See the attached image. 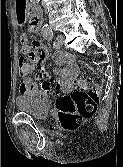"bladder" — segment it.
<instances>
[{
  "label": "bladder",
  "instance_id": "obj_1",
  "mask_svg": "<svg viewBox=\"0 0 123 167\" xmlns=\"http://www.w3.org/2000/svg\"><path fill=\"white\" fill-rule=\"evenodd\" d=\"M17 108L36 120H44L51 109L50 101L43 96H19L16 99Z\"/></svg>",
  "mask_w": 123,
  "mask_h": 167
}]
</instances>
